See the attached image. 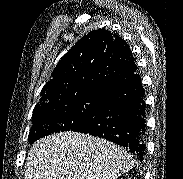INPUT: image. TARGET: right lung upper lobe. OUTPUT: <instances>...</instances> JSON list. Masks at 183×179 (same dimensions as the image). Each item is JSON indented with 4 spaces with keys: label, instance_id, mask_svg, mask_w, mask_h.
<instances>
[{
    "label": "right lung upper lobe",
    "instance_id": "obj_1",
    "mask_svg": "<svg viewBox=\"0 0 183 179\" xmlns=\"http://www.w3.org/2000/svg\"><path fill=\"white\" fill-rule=\"evenodd\" d=\"M137 72L128 44L109 30L83 36L58 62L36 106L87 94H102Z\"/></svg>",
    "mask_w": 183,
    "mask_h": 179
}]
</instances>
